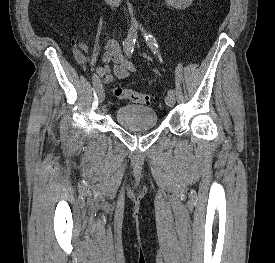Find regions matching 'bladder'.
Segmentation results:
<instances>
[{"label": "bladder", "instance_id": "obj_1", "mask_svg": "<svg viewBox=\"0 0 275 263\" xmlns=\"http://www.w3.org/2000/svg\"><path fill=\"white\" fill-rule=\"evenodd\" d=\"M117 122L129 130H142L157 125L158 117L154 109L141 105H124L115 111Z\"/></svg>", "mask_w": 275, "mask_h": 263}]
</instances>
